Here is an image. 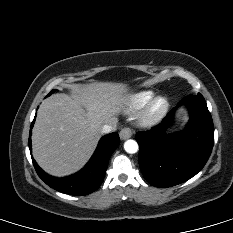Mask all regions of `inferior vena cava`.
I'll return each instance as SVG.
<instances>
[{
  "instance_id": "1",
  "label": "inferior vena cava",
  "mask_w": 233,
  "mask_h": 233,
  "mask_svg": "<svg viewBox=\"0 0 233 233\" xmlns=\"http://www.w3.org/2000/svg\"><path fill=\"white\" fill-rule=\"evenodd\" d=\"M117 129V119H111L109 123L103 125L101 133L108 134Z\"/></svg>"
}]
</instances>
